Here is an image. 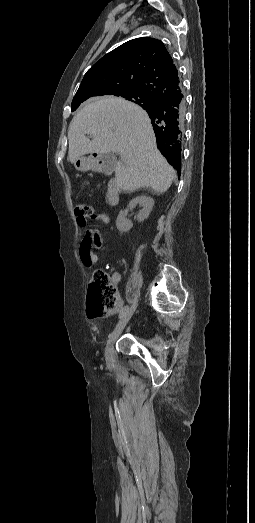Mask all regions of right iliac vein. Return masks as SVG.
I'll list each match as a JSON object with an SVG mask.
<instances>
[{
	"label": "right iliac vein",
	"mask_w": 255,
	"mask_h": 523,
	"mask_svg": "<svg viewBox=\"0 0 255 523\" xmlns=\"http://www.w3.org/2000/svg\"><path fill=\"white\" fill-rule=\"evenodd\" d=\"M136 309V304H134L131 308H129L126 313L124 314V316L120 319V321L118 322V324L116 325L114 331L112 332V334L110 335V338L107 342V345H106V348H105V356H106V359L108 361H111L112 358H113V353H114V345H115V342L117 341L118 337L120 336L121 332L123 331V329L125 328V326L127 325V323L129 322V320L131 319L134 311Z\"/></svg>",
	"instance_id": "63e3f726"
}]
</instances>
